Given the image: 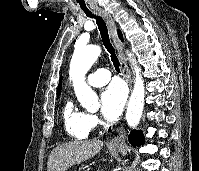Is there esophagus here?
<instances>
[{"label":"esophagus","mask_w":199,"mask_h":171,"mask_svg":"<svg viewBox=\"0 0 199 171\" xmlns=\"http://www.w3.org/2000/svg\"><path fill=\"white\" fill-rule=\"evenodd\" d=\"M98 14L103 17V19L106 21L108 25L110 36L112 39V44L116 50L118 59L120 61V67H121L123 77L125 78L131 90L132 88L131 74L125 61V57L122 51L121 41L119 40L118 35H117V27H116L115 21L112 18V16L106 11H99ZM125 141H126V131L124 127L121 126L118 129V135L114 137L112 140H110L109 146L115 147V148L123 147L125 145Z\"/></svg>","instance_id":"1"}]
</instances>
